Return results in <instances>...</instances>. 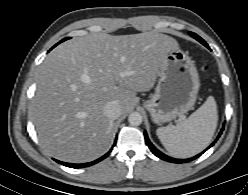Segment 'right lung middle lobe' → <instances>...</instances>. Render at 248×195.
<instances>
[{
	"label": "right lung middle lobe",
	"instance_id": "dd1d6c3e",
	"mask_svg": "<svg viewBox=\"0 0 248 195\" xmlns=\"http://www.w3.org/2000/svg\"><path fill=\"white\" fill-rule=\"evenodd\" d=\"M67 39H69V38H65V39L61 40L59 43L65 41V40H67ZM59 43H57L56 45H58Z\"/></svg>",
	"mask_w": 248,
	"mask_h": 195
}]
</instances>
